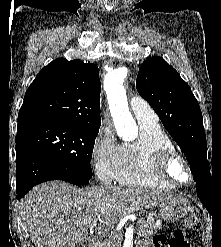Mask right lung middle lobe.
<instances>
[{"instance_id":"right-lung-middle-lobe-1","label":"right lung middle lobe","mask_w":221,"mask_h":247,"mask_svg":"<svg viewBox=\"0 0 221 247\" xmlns=\"http://www.w3.org/2000/svg\"><path fill=\"white\" fill-rule=\"evenodd\" d=\"M98 131L75 123L32 125L17 129L16 146L35 149L76 175L90 179V161Z\"/></svg>"}]
</instances>
